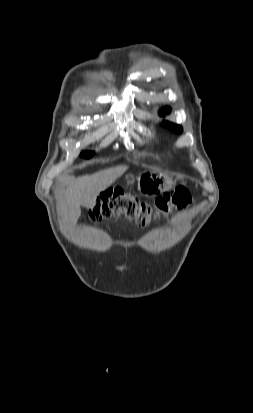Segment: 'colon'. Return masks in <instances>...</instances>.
Segmentation results:
<instances>
[{"label": "colon", "mask_w": 253, "mask_h": 413, "mask_svg": "<svg viewBox=\"0 0 253 413\" xmlns=\"http://www.w3.org/2000/svg\"><path fill=\"white\" fill-rule=\"evenodd\" d=\"M191 203V195L184 187H178L172 193H165L156 198L153 205L124 193L112 190L100 196L96 205L89 211L94 220L125 215L139 225L147 226L153 220L168 215L173 209H182Z\"/></svg>", "instance_id": "colon-1"}]
</instances>
